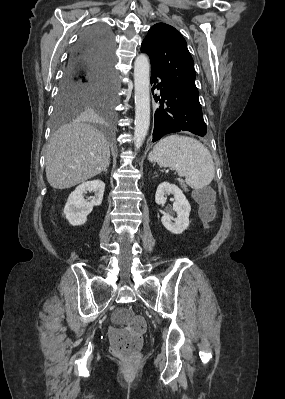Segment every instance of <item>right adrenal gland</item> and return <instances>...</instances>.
I'll return each instance as SVG.
<instances>
[{
	"label": "right adrenal gland",
	"mask_w": 285,
	"mask_h": 399,
	"mask_svg": "<svg viewBox=\"0 0 285 399\" xmlns=\"http://www.w3.org/2000/svg\"><path fill=\"white\" fill-rule=\"evenodd\" d=\"M104 172L107 173V169H105Z\"/></svg>",
	"instance_id": "2a0ac1e0"
}]
</instances>
